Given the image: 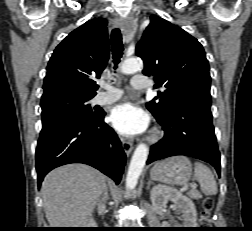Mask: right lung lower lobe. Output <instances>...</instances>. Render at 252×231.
<instances>
[{
    "instance_id": "98d812e1",
    "label": "right lung lower lobe",
    "mask_w": 252,
    "mask_h": 231,
    "mask_svg": "<svg viewBox=\"0 0 252 231\" xmlns=\"http://www.w3.org/2000/svg\"><path fill=\"white\" fill-rule=\"evenodd\" d=\"M104 116L100 110L89 117H60L42 125L36 148L39 185L49 171L69 163L88 164L120 182L126 155Z\"/></svg>"
}]
</instances>
